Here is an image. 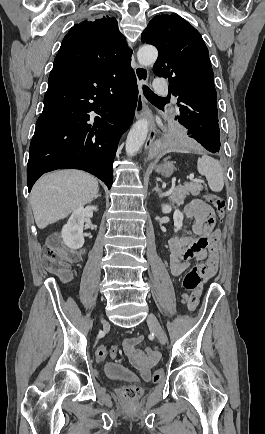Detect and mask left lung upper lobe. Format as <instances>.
<instances>
[{
	"label": "left lung upper lobe",
	"instance_id": "1",
	"mask_svg": "<svg viewBox=\"0 0 265 434\" xmlns=\"http://www.w3.org/2000/svg\"><path fill=\"white\" fill-rule=\"evenodd\" d=\"M143 43L158 49L153 72L169 78L179 122L188 129H219L217 94L209 52L200 33L176 14L155 16L143 31Z\"/></svg>",
	"mask_w": 265,
	"mask_h": 434
}]
</instances>
